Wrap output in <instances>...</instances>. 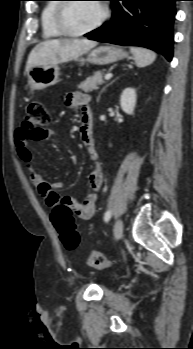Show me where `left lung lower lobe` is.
Returning <instances> with one entry per match:
<instances>
[{"mask_svg": "<svg viewBox=\"0 0 193 349\" xmlns=\"http://www.w3.org/2000/svg\"><path fill=\"white\" fill-rule=\"evenodd\" d=\"M112 19L85 36L118 45H136L173 54V21L177 0H110Z\"/></svg>", "mask_w": 193, "mask_h": 349, "instance_id": "obj_1", "label": "left lung lower lobe"}]
</instances>
